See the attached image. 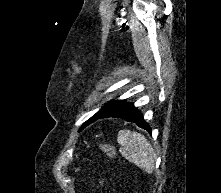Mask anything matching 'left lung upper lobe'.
<instances>
[{"instance_id":"1","label":"left lung upper lobe","mask_w":221,"mask_h":193,"mask_svg":"<svg viewBox=\"0 0 221 193\" xmlns=\"http://www.w3.org/2000/svg\"><path fill=\"white\" fill-rule=\"evenodd\" d=\"M111 103H112V102H111ZM111 103H108L107 105H105L104 107H102L95 115H93L89 120H87V121L83 124L82 128L85 127V126H87L89 123L95 121V120L110 106Z\"/></svg>"}]
</instances>
